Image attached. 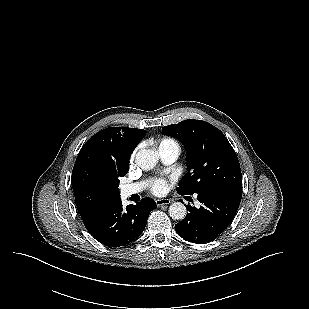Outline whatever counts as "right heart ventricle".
<instances>
[{
    "label": "right heart ventricle",
    "mask_w": 309,
    "mask_h": 309,
    "mask_svg": "<svg viewBox=\"0 0 309 309\" xmlns=\"http://www.w3.org/2000/svg\"><path fill=\"white\" fill-rule=\"evenodd\" d=\"M163 146H175V147L179 148L178 143L174 139H171V138H164V139H162L159 142V148L163 147Z\"/></svg>",
    "instance_id": "e07e8e85"
}]
</instances>
